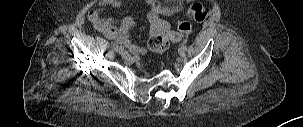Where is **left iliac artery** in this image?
Returning a JSON list of instances; mask_svg holds the SVG:
<instances>
[{"instance_id":"1","label":"left iliac artery","mask_w":303,"mask_h":127,"mask_svg":"<svg viewBox=\"0 0 303 127\" xmlns=\"http://www.w3.org/2000/svg\"><path fill=\"white\" fill-rule=\"evenodd\" d=\"M179 50L185 52V51H187V46L183 44V45H181Z\"/></svg>"}]
</instances>
